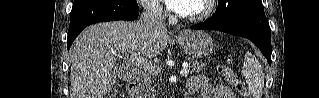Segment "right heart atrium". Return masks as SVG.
<instances>
[{"label": "right heart atrium", "instance_id": "1", "mask_svg": "<svg viewBox=\"0 0 319 98\" xmlns=\"http://www.w3.org/2000/svg\"><path fill=\"white\" fill-rule=\"evenodd\" d=\"M146 11L154 17L162 16L164 14V9L159 1H151L146 3Z\"/></svg>", "mask_w": 319, "mask_h": 98}]
</instances>
